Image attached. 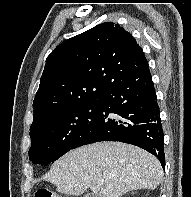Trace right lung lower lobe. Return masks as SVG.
I'll list each match as a JSON object with an SVG mask.
<instances>
[{"instance_id":"98d812e1","label":"right lung lower lobe","mask_w":191,"mask_h":197,"mask_svg":"<svg viewBox=\"0 0 191 197\" xmlns=\"http://www.w3.org/2000/svg\"><path fill=\"white\" fill-rule=\"evenodd\" d=\"M97 115L71 149L100 141L139 146L165 168L164 133L149 67L109 86L98 99Z\"/></svg>"}]
</instances>
